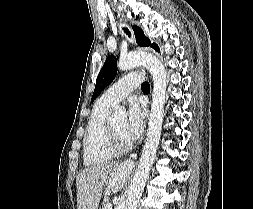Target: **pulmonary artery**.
<instances>
[{"instance_id": "obj_1", "label": "pulmonary artery", "mask_w": 253, "mask_h": 209, "mask_svg": "<svg viewBox=\"0 0 253 209\" xmlns=\"http://www.w3.org/2000/svg\"><path fill=\"white\" fill-rule=\"evenodd\" d=\"M143 81L144 75L142 72H130L105 91L101 96V100L106 104L115 106L127 97L135 88L140 86Z\"/></svg>"}]
</instances>
